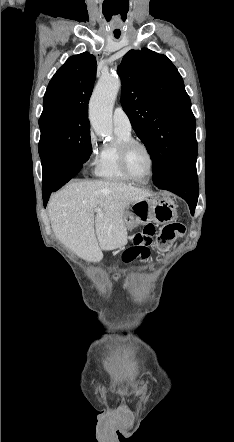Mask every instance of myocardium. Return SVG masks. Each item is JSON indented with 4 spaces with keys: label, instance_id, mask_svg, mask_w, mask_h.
Wrapping results in <instances>:
<instances>
[{
    "label": "myocardium",
    "instance_id": "1",
    "mask_svg": "<svg viewBox=\"0 0 234 442\" xmlns=\"http://www.w3.org/2000/svg\"><path fill=\"white\" fill-rule=\"evenodd\" d=\"M134 146H139V147L143 148L149 157L150 173H149V176L144 180H140V179L136 178L130 172V169L128 166V154ZM119 164H120V168H121L122 172L125 174V176L129 180L136 182L138 184H147L154 176L155 159H154L153 153H152L151 149L149 148V146L140 140L129 139V140H126L123 143H121V145L119 147Z\"/></svg>",
    "mask_w": 234,
    "mask_h": 442
}]
</instances>
